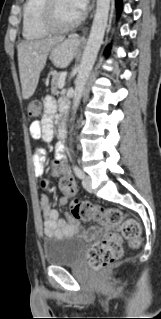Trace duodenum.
I'll list each match as a JSON object with an SVG mask.
<instances>
[{
  "label": "duodenum",
  "instance_id": "obj_1",
  "mask_svg": "<svg viewBox=\"0 0 161 319\" xmlns=\"http://www.w3.org/2000/svg\"><path fill=\"white\" fill-rule=\"evenodd\" d=\"M59 137H65L67 135V125L63 123L58 130Z\"/></svg>",
  "mask_w": 161,
  "mask_h": 319
}]
</instances>
